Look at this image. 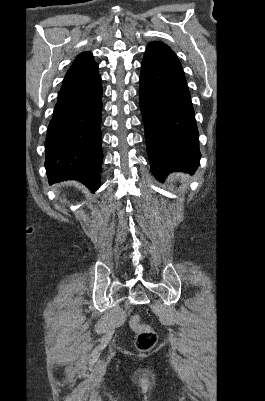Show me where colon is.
<instances>
[{
	"label": "colon",
	"instance_id": "obj_1",
	"mask_svg": "<svg viewBox=\"0 0 265 401\" xmlns=\"http://www.w3.org/2000/svg\"><path fill=\"white\" fill-rule=\"evenodd\" d=\"M130 328L136 334L135 345L139 351L147 352L154 348L157 342V335L151 326L141 321L138 314L131 317Z\"/></svg>",
	"mask_w": 265,
	"mask_h": 401
}]
</instances>
